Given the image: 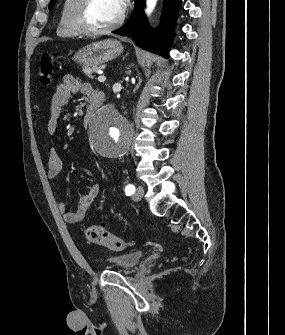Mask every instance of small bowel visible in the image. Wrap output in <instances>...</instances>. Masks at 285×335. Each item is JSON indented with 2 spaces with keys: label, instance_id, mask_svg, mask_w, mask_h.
Wrapping results in <instances>:
<instances>
[{
  "label": "small bowel",
  "instance_id": "c3829d8e",
  "mask_svg": "<svg viewBox=\"0 0 285 335\" xmlns=\"http://www.w3.org/2000/svg\"><path fill=\"white\" fill-rule=\"evenodd\" d=\"M77 93H83L90 99V101L102 100L101 95L94 91L90 85L81 83L71 75L64 76L62 82L56 87L51 98L50 118L47 123V129L50 135H54L57 131L64 107L72 96ZM47 168L51 179L56 178L63 170V163L52 142L47 147ZM84 174L88 177H94V171L91 168H85ZM100 191L101 185L99 183L93 184L88 193L82 197L76 210L73 212H68L65 205L60 202L58 208L64 220L71 224L83 220L95 200L98 198Z\"/></svg>",
  "mask_w": 285,
  "mask_h": 335
}]
</instances>
